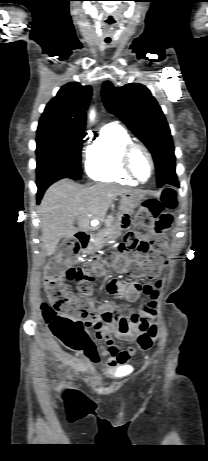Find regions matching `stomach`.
<instances>
[{"instance_id":"1","label":"stomach","mask_w":208,"mask_h":461,"mask_svg":"<svg viewBox=\"0 0 208 461\" xmlns=\"http://www.w3.org/2000/svg\"><path fill=\"white\" fill-rule=\"evenodd\" d=\"M141 199L142 194L140 192L121 195L120 211L116 221L94 236V243L91 245V248L99 249L104 246L106 241L118 238L122 231L121 214H129L131 209L135 210L140 205Z\"/></svg>"}]
</instances>
